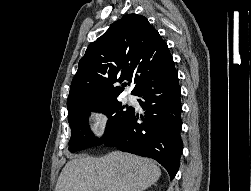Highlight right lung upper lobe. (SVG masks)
Wrapping results in <instances>:
<instances>
[{
  "label": "right lung upper lobe",
  "instance_id": "1",
  "mask_svg": "<svg viewBox=\"0 0 251 191\" xmlns=\"http://www.w3.org/2000/svg\"><path fill=\"white\" fill-rule=\"evenodd\" d=\"M166 42L148 20L127 14L92 42L79 61L67 108L117 99L132 81L131 94L161 84L176 73Z\"/></svg>",
  "mask_w": 251,
  "mask_h": 191
}]
</instances>
